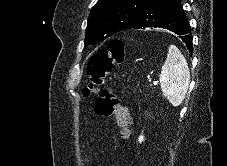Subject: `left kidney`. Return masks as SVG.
<instances>
[{"mask_svg": "<svg viewBox=\"0 0 227 166\" xmlns=\"http://www.w3.org/2000/svg\"><path fill=\"white\" fill-rule=\"evenodd\" d=\"M143 140H144V136L141 135V136L139 137V142L141 143Z\"/></svg>", "mask_w": 227, "mask_h": 166, "instance_id": "5707ae66", "label": "left kidney"}]
</instances>
